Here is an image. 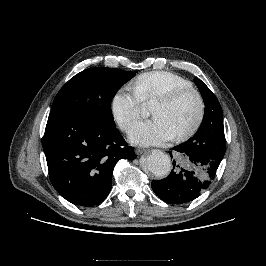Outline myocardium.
<instances>
[{
	"label": "myocardium",
	"mask_w": 266,
	"mask_h": 266,
	"mask_svg": "<svg viewBox=\"0 0 266 266\" xmlns=\"http://www.w3.org/2000/svg\"><path fill=\"white\" fill-rule=\"evenodd\" d=\"M188 95L194 96L197 101V105H198L197 116L193 124L186 131L179 133L175 136L177 140H185V139L192 137L202 125V122L205 116V109H206L203 96L198 90L192 87H187V88H181V89L171 91L163 95L162 97L158 98L154 102L156 104L172 105Z\"/></svg>",
	"instance_id": "obj_1"
}]
</instances>
